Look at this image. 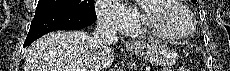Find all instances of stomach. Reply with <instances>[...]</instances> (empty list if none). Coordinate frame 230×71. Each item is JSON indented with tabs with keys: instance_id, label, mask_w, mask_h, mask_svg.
I'll list each match as a JSON object with an SVG mask.
<instances>
[{
	"instance_id": "1",
	"label": "stomach",
	"mask_w": 230,
	"mask_h": 71,
	"mask_svg": "<svg viewBox=\"0 0 230 71\" xmlns=\"http://www.w3.org/2000/svg\"><path fill=\"white\" fill-rule=\"evenodd\" d=\"M134 50L136 54L155 65L171 66L176 60L175 53L162 44L144 45L141 48H134Z\"/></svg>"
}]
</instances>
